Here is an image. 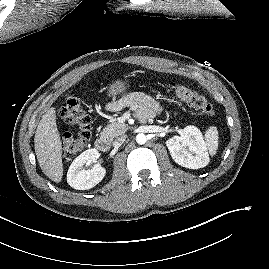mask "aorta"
Here are the masks:
<instances>
[{"label": "aorta", "instance_id": "1", "mask_svg": "<svg viewBox=\"0 0 269 269\" xmlns=\"http://www.w3.org/2000/svg\"><path fill=\"white\" fill-rule=\"evenodd\" d=\"M136 141H137L138 144L142 145V144H145L146 143L147 138H146L145 134H142L141 133V134H138L136 136Z\"/></svg>", "mask_w": 269, "mask_h": 269}]
</instances>
